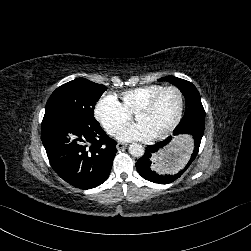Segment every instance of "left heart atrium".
<instances>
[{
    "label": "left heart atrium",
    "mask_w": 251,
    "mask_h": 251,
    "mask_svg": "<svg viewBox=\"0 0 251 251\" xmlns=\"http://www.w3.org/2000/svg\"><path fill=\"white\" fill-rule=\"evenodd\" d=\"M157 134L158 132L149 121L140 120L120 128L118 138L123 141H149Z\"/></svg>",
    "instance_id": "39dd6f15"
}]
</instances>
